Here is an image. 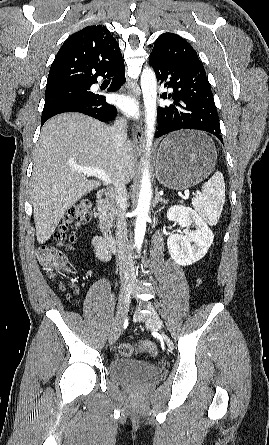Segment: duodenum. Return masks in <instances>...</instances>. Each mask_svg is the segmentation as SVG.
Here are the masks:
<instances>
[{
    "label": "duodenum",
    "instance_id": "1",
    "mask_svg": "<svg viewBox=\"0 0 269 445\" xmlns=\"http://www.w3.org/2000/svg\"><path fill=\"white\" fill-rule=\"evenodd\" d=\"M110 194L106 190H99L96 195V206H97V212H96V218L99 225V228L103 235V240L111 252H116L118 249L117 241L112 234V231L110 229V226L108 224V221L105 216V207L108 203Z\"/></svg>",
    "mask_w": 269,
    "mask_h": 445
}]
</instances>
